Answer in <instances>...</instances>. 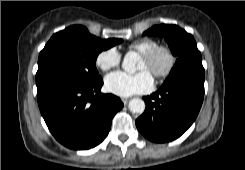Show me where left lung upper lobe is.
I'll return each mask as SVG.
<instances>
[{
	"mask_svg": "<svg viewBox=\"0 0 245 170\" xmlns=\"http://www.w3.org/2000/svg\"><path fill=\"white\" fill-rule=\"evenodd\" d=\"M146 34L162 36L168 43L172 54L177 57L176 64L164 84L181 78L204 80L201 53L191 34L176 25L166 24L153 26L144 32V35Z\"/></svg>",
	"mask_w": 245,
	"mask_h": 170,
	"instance_id": "left-lung-upper-lobe-1",
	"label": "left lung upper lobe"
}]
</instances>
